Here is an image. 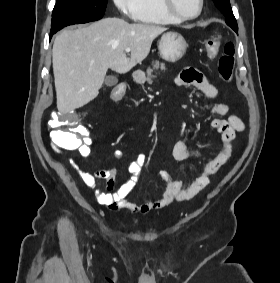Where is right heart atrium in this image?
Returning <instances> with one entry per match:
<instances>
[{
  "label": "right heart atrium",
  "instance_id": "obj_1",
  "mask_svg": "<svg viewBox=\"0 0 280 283\" xmlns=\"http://www.w3.org/2000/svg\"><path fill=\"white\" fill-rule=\"evenodd\" d=\"M123 17L134 18L138 10V0H113Z\"/></svg>",
  "mask_w": 280,
  "mask_h": 283
}]
</instances>
